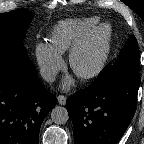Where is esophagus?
Listing matches in <instances>:
<instances>
[{
    "label": "esophagus",
    "mask_w": 144,
    "mask_h": 144,
    "mask_svg": "<svg viewBox=\"0 0 144 144\" xmlns=\"http://www.w3.org/2000/svg\"><path fill=\"white\" fill-rule=\"evenodd\" d=\"M66 96H64V95H59L58 97H57V100H58V102L61 104V105H65L66 104Z\"/></svg>",
    "instance_id": "obj_1"
}]
</instances>
